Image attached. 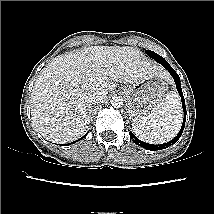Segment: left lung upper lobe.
<instances>
[{
  "label": "left lung upper lobe",
  "instance_id": "1",
  "mask_svg": "<svg viewBox=\"0 0 214 214\" xmlns=\"http://www.w3.org/2000/svg\"><path fill=\"white\" fill-rule=\"evenodd\" d=\"M146 54L160 64H162L163 62L166 61L163 57H161L160 55H158L157 53H155L153 51L147 50Z\"/></svg>",
  "mask_w": 214,
  "mask_h": 214
}]
</instances>
